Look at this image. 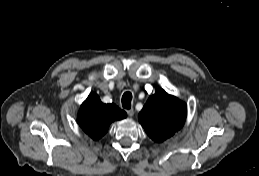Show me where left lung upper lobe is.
Masks as SVG:
<instances>
[{
	"label": "left lung upper lobe",
	"mask_w": 259,
	"mask_h": 176,
	"mask_svg": "<svg viewBox=\"0 0 259 176\" xmlns=\"http://www.w3.org/2000/svg\"><path fill=\"white\" fill-rule=\"evenodd\" d=\"M186 115L184 102L158 89L147 100L138 118L148 136L156 142H162L182 128Z\"/></svg>",
	"instance_id": "left-lung-upper-lobe-1"
}]
</instances>
